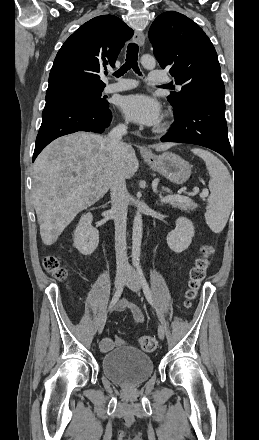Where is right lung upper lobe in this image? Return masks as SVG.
I'll use <instances>...</instances> for the list:
<instances>
[{"label":"right lung upper lobe","instance_id":"obj_1","mask_svg":"<svg viewBox=\"0 0 259 440\" xmlns=\"http://www.w3.org/2000/svg\"><path fill=\"white\" fill-rule=\"evenodd\" d=\"M133 30L113 15L91 19L62 45L49 75L46 94L75 87L104 88L100 73L114 67Z\"/></svg>","mask_w":259,"mask_h":440}]
</instances>
